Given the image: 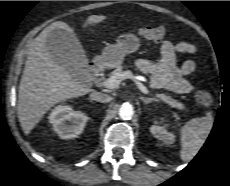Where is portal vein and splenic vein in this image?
<instances>
[{
  "mask_svg": "<svg viewBox=\"0 0 230 186\" xmlns=\"http://www.w3.org/2000/svg\"><path fill=\"white\" fill-rule=\"evenodd\" d=\"M127 78L133 79L136 82L138 88L141 90V92H143L144 94H148V89L141 82L138 81V78L136 76H134L131 72L128 71H125L122 74H118L105 80L103 82V86L109 89H114L119 86L122 80Z\"/></svg>",
  "mask_w": 230,
  "mask_h": 186,
  "instance_id": "portal-vein-and-splenic-vein-1",
  "label": "portal vein and splenic vein"
}]
</instances>
